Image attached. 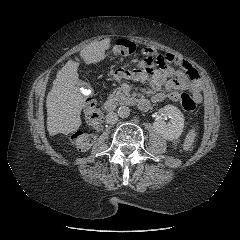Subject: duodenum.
Returning a JSON list of instances; mask_svg holds the SVG:
<instances>
[{"instance_id":"duodenum-1","label":"duodenum","mask_w":240,"mask_h":240,"mask_svg":"<svg viewBox=\"0 0 240 240\" xmlns=\"http://www.w3.org/2000/svg\"><path fill=\"white\" fill-rule=\"evenodd\" d=\"M138 108L141 111H146L149 109V102L147 100H139L137 103ZM104 108L107 112H112L115 109V103L112 100H107L104 104Z\"/></svg>"}]
</instances>
